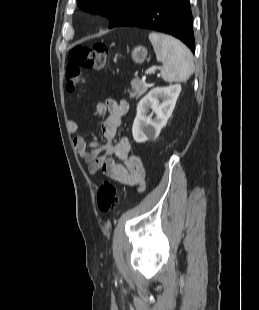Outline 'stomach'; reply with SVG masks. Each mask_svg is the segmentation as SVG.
Returning a JSON list of instances; mask_svg holds the SVG:
<instances>
[{
  "mask_svg": "<svg viewBox=\"0 0 259 310\" xmlns=\"http://www.w3.org/2000/svg\"><path fill=\"white\" fill-rule=\"evenodd\" d=\"M147 57V49L143 46H138L132 51V59L135 63H143Z\"/></svg>",
  "mask_w": 259,
  "mask_h": 310,
  "instance_id": "stomach-1",
  "label": "stomach"
}]
</instances>
